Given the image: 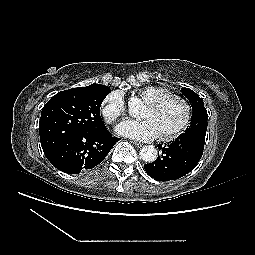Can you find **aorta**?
Wrapping results in <instances>:
<instances>
[{
    "mask_svg": "<svg viewBox=\"0 0 255 255\" xmlns=\"http://www.w3.org/2000/svg\"><path fill=\"white\" fill-rule=\"evenodd\" d=\"M141 106V102L137 98H133L129 101V111L132 115L136 116L138 113V110ZM158 151L157 149L152 146H144L140 150V157L143 161L152 163L157 159Z\"/></svg>",
    "mask_w": 255,
    "mask_h": 255,
    "instance_id": "obj_1",
    "label": "aorta"
}]
</instances>
